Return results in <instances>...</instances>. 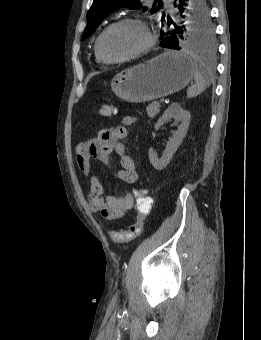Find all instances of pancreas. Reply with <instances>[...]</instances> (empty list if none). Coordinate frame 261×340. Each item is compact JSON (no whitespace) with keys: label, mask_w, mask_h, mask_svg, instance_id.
<instances>
[{"label":"pancreas","mask_w":261,"mask_h":340,"mask_svg":"<svg viewBox=\"0 0 261 340\" xmlns=\"http://www.w3.org/2000/svg\"><path fill=\"white\" fill-rule=\"evenodd\" d=\"M160 111V103L159 102H152L148 107H147V115L149 118H154Z\"/></svg>","instance_id":"obj_1"}]
</instances>
